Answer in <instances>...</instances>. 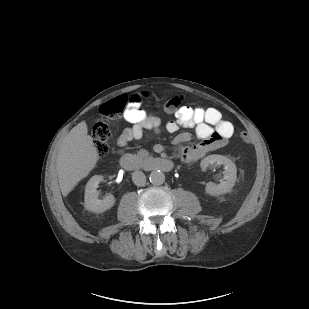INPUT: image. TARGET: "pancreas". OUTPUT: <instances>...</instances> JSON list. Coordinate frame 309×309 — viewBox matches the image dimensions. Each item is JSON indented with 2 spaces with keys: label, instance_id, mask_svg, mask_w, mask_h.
Here are the masks:
<instances>
[{
  "label": "pancreas",
  "instance_id": "cf45deb5",
  "mask_svg": "<svg viewBox=\"0 0 309 309\" xmlns=\"http://www.w3.org/2000/svg\"><path fill=\"white\" fill-rule=\"evenodd\" d=\"M149 157V152L145 149H141L137 152V154L132 155V158L137 162L141 163L143 160Z\"/></svg>",
  "mask_w": 309,
  "mask_h": 309
}]
</instances>
